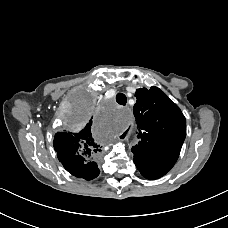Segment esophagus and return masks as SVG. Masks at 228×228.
<instances>
[{
    "label": "esophagus",
    "instance_id": "esophagus-1",
    "mask_svg": "<svg viewBox=\"0 0 228 228\" xmlns=\"http://www.w3.org/2000/svg\"><path fill=\"white\" fill-rule=\"evenodd\" d=\"M117 137L120 141L126 140L128 138V132L122 131Z\"/></svg>",
    "mask_w": 228,
    "mask_h": 228
}]
</instances>
